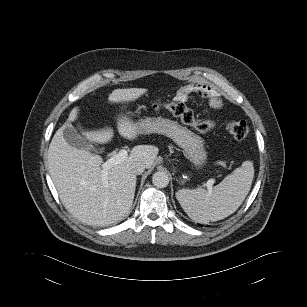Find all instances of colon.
Wrapping results in <instances>:
<instances>
[{
    "instance_id": "5ec220e1",
    "label": "colon",
    "mask_w": 307,
    "mask_h": 307,
    "mask_svg": "<svg viewBox=\"0 0 307 307\" xmlns=\"http://www.w3.org/2000/svg\"><path fill=\"white\" fill-rule=\"evenodd\" d=\"M151 107L155 110H166L178 117L182 122L188 124L200 132H210L215 129L216 124L209 120H199L194 113L181 102H165L155 99ZM226 131L237 140H244L249 134V127L245 121H230L225 124Z\"/></svg>"
}]
</instances>
